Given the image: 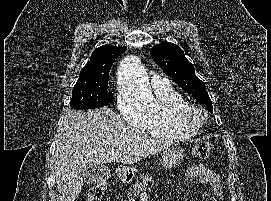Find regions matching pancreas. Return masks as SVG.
<instances>
[{"label": "pancreas", "mask_w": 271, "mask_h": 201, "mask_svg": "<svg viewBox=\"0 0 271 201\" xmlns=\"http://www.w3.org/2000/svg\"><path fill=\"white\" fill-rule=\"evenodd\" d=\"M141 181H137L132 189L130 190V192L127 194L128 197H131L130 201H134V197L138 196L143 190L146 189L148 182L153 183V179L151 176L147 175H143L141 176Z\"/></svg>", "instance_id": "pancreas-1"}]
</instances>
